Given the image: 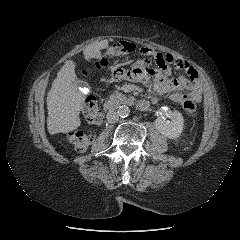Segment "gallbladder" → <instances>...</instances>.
Masks as SVG:
<instances>
[{
    "label": "gallbladder",
    "mask_w": 240,
    "mask_h": 240,
    "mask_svg": "<svg viewBox=\"0 0 240 240\" xmlns=\"http://www.w3.org/2000/svg\"><path fill=\"white\" fill-rule=\"evenodd\" d=\"M84 83L83 81H80V80H77L76 81V85L79 87V86H82Z\"/></svg>",
    "instance_id": "obj_1"
}]
</instances>
